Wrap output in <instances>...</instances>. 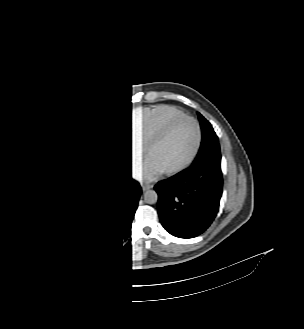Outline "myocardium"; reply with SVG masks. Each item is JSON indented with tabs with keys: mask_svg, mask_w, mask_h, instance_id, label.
<instances>
[{
	"mask_svg": "<svg viewBox=\"0 0 304 329\" xmlns=\"http://www.w3.org/2000/svg\"><path fill=\"white\" fill-rule=\"evenodd\" d=\"M182 120H190L195 123L196 128H197V140H196L195 146H194L191 154L188 156V158L176 167L161 171V173L164 175L177 174V173L181 172L182 170H184L185 168H187L194 161V159L196 158V156L198 155V153L200 151L202 139H203V132H202V127H201L200 122L195 117L186 115V114L177 116V117H173L170 120H168L165 123V125L148 141V143L144 149L145 157H146V159H148V155L151 152V150L157 144H159L161 141L166 139L167 136L169 135L170 131L172 130V128L178 122H180Z\"/></svg>",
	"mask_w": 304,
	"mask_h": 329,
	"instance_id": "f54148a6",
	"label": "myocardium"
}]
</instances>
